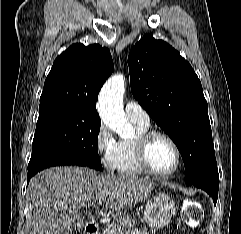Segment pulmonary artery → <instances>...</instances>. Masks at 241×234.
Segmentation results:
<instances>
[{
	"label": "pulmonary artery",
	"mask_w": 241,
	"mask_h": 234,
	"mask_svg": "<svg viewBox=\"0 0 241 234\" xmlns=\"http://www.w3.org/2000/svg\"><path fill=\"white\" fill-rule=\"evenodd\" d=\"M125 112L127 117L133 123L148 125L150 122L148 113L135 101H128L126 103Z\"/></svg>",
	"instance_id": "e3ab8cb5"
}]
</instances>
